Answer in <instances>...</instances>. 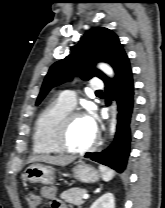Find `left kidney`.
<instances>
[{
	"instance_id": "1",
	"label": "left kidney",
	"mask_w": 165,
	"mask_h": 208,
	"mask_svg": "<svg viewBox=\"0 0 165 208\" xmlns=\"http://www.w3.org/2000/svg\"><path fill=\"white\" fill-rule=\"evenodd\" d=\"M90 208H115V199L112 193H105L99 197Z\"/></svg>"
}]
</instances>
